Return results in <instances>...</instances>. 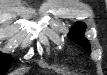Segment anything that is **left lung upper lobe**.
Listing matches in <instances>:
<instances>
[{"label": "left lung upper lobe", "mask_w": 107, "mask_h": 75, "mask_svg": "<svg viewBox=\"0 0 107 75\" xmlns=\"http://www.w3.org/2000/svg\"><path fill=\"white\" fill-rule=\"evenodd\" d=\"M85 27V24L82 22L76 23L75 26L71 29L68 37L76 44L84 47L87 51H90V44L83 35Z\"/></svg>", "instance_id": "left-lung-upper-lobe-1"}]
</instances>
